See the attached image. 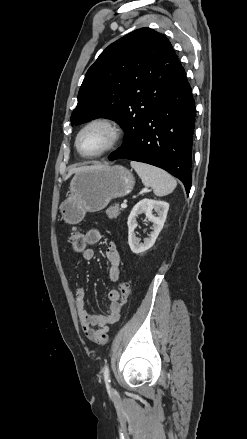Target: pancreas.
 <instances>
[{
	"mask_svg": "<svg viewBox=\"0 0 247 439\" xmlns=\"http://www.w3.org/2000/svg\"><path fill=\"white\" fill-rule=\"evenodd\" d=\"M106 214L110 219H115L120 214V208L118 204H114L106 210Z\"/></svg>",
	"mask_w": 247,
	"mask_h": 439,
	"instance_id": "pancreas-1",
	"label": "pancreas"
}]
</instances>
